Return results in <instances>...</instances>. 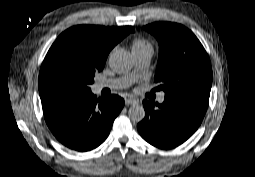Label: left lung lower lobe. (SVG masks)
<instances>
[{
    "mask_svg": "<svg viewBox=\"0 0 255 177\" xmlns=\"http://www.w3.org/2000/svg\"><path fill=\"white\" fill-rule=\"evenodd\" d=\"M205 97H174L163 104L144 100L145 118L137 125L141 136L161 149L174 148L199 127L208 106Z\"/></svg>",
    "mask_w": 255,
    "mask_h": 177,
    "instance_id": "0a47b994",
    "label": "left lung lower lobe"
}]
</instances>
